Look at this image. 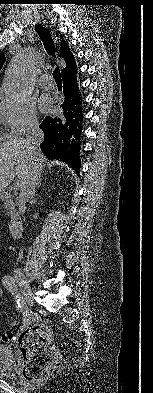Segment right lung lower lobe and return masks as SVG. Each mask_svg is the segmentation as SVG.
I'll return each instance as SVG.
<instances>
[{"label":"right lung lower lobe","instance_id":"98d812e1","mask_svg":"<svg viewBox=\"0 0 153 393\" xmlns=\"http://www.w3.org/2000/svg\"><path fill=\"white\" fill-rule=\"evenodd\" d=\"M75 72L76 69L62 74L64 101L60 107L63 113L58 117L47 116L41 123L44 141L40 147L49 159H60L79 174L81 167L79 140L83 116L81 94L78 90Z\"/></svg>","mask_w":153,"mask_h":393}]
</instances>
